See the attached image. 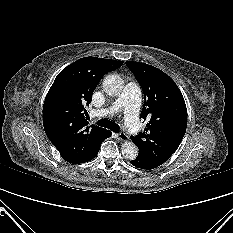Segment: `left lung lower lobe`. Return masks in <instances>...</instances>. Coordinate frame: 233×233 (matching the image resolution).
Returning a JSON list of instances; mask_svg holds the SVG:
<instances>
[{
  "instance_id": "0a47b994",
  "label": "left lung lower lobe",
  "mask_w": 233,
  "mask_h": 233,
  "mask_svg": "<svg viewBox=\"0 0 233 233\" xmlns=\"http://www.w3.org/2000/svg\"><path fill=\"white\" fill-rule=\"evenodd\" d=\"M131 164L135 167L141 168V169H146V170H150V169H154L156 167H158L159 165L148 160L145 159L144 157L138 155L135 159H133L131 161Z\"/></svg>"
}]
</instances>
